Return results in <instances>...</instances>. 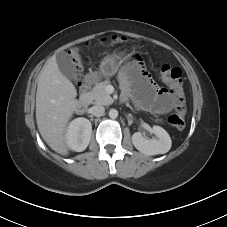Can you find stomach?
Wrapping results in <instances>:
<instances>
[{"instance_id":"0dacf381","label":"stomach","mask_w":227,"mask_h":227,"mask_svg":"<svg viewBox=\"0 0 227 227\" xmlns=\"http://www.w3.org/2000/svg\"><path fill=\"white\" fill-rule=\"evenodd\" d=\"M125 56V52H118L112 55H107L100 63L99 71L88 76L91 81H98L101 78H108L115 75L113 68Z\"/></svg>"}]
</instances>
